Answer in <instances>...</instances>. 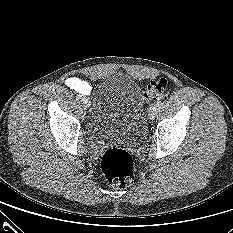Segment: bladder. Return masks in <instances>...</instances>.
<instances>
[{
	"label": "bladder",
	"instance_id": "1",
	"mask_svg": "<svg viewBox=\"0 0 233 233\" xmlns=\"http://www.w3.org/2000/svg\"><path fill=\"white\" fill-rule=\"evenodd\" d=\"M88 127L97 144H138L146 131L140 86L125 74H115L99 86Z\"/></svg>",
	"mask_w": 233,
	"mask_h": 233
}]
</instances>
